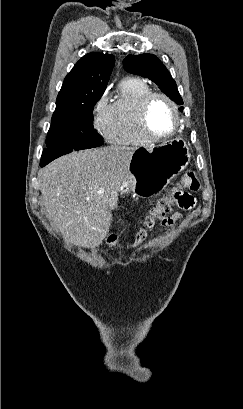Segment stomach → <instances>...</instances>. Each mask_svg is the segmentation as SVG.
<instances>
[{
    "mask_svg": "<svg viewBox=\"0 0 243 409\" xmlns=\"http://www.w3.org/2000/svg\"><path fill=\"white\" fill-rule=\"evenodd\" d=\"M189 161V148L181 138L136 149L119 192L137 196L158 194L186 168Z\"/></svg>",
    "mask_w": 243,
    "mask_h": 409,
    "instance_id": "1",
    "label": "stomach"
}]
</instances>
